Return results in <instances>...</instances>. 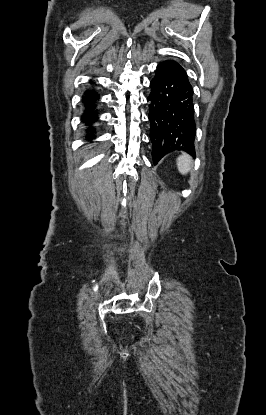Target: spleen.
Here are the masks:
<instances>
[{
	"mask_svg": "<svg viewBox=\"0 0 266 415\" xmlns=\"http://www.w3.org/2000/svg\"><path fill=\"white\" fill-rule=\"evenodd\" d=\"M178 171L182 175H187L192 169V158L187 154H182L176 160Z\"/></svg>",
	"mask_w": 266,
	"mask_h": 415,
	"instance_id": "obj_1",
	"label": "spleen"
}]
</instances>
